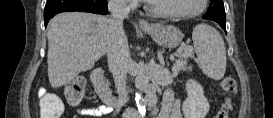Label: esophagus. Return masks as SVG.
I'll list each match as a JSON object with an SVG mask.
<instances>
[{"label": "esophagus", "mask_w": 273, "mask_h": 118, "mask_svg": "<svg viewBox=\"0 0 273 118\" xmlns=\"http://www.w3.org/2000/svg\"><path fill=\"white\" fill-rule=\"evenodd\" d=\"M139 26L143 29H148L150 27L149 23L145 19H140L138 22Z\"/></svg>", "instance_id": "1"}]
</instances>
